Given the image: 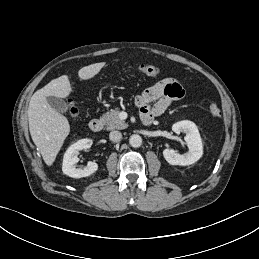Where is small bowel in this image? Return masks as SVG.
Returning a JSON list of instances; mask_svg holds the SVG:
<instances>
[{"instance_id": "1", "label": "small bowel", "mask_w": 259, "mask_h": 259, "mask_svg": "<svg viewBox=\"0 0 259 259\" xmlns=\"http://www.w3.org/2000/svg\"><path fill=\"white\" fill-rule=\"evenodd\" d=\"M184 96L182 85L174 78H164L135 97L142 118L154 119Z\"/></svg>"}]
</instances>
